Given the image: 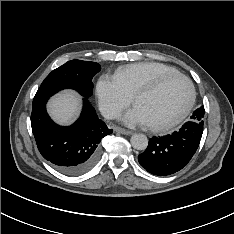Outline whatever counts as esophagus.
<instances>
[{"instance_id":"obj_1","label":"esophagus","mask_w":234,"mask_h":234,"mask_svg":"<svg viewBox=\"0 0 234 234\" xmlns=\"http://www.w3.org/2000/svg\"><path fill=\"white\" fill-rule=\"evenodd\" d=\"M115 131L118 132V133L124 134V135H130V134H132L131 131L126 130V129L121 128V127H116Z\"/></svg>"}]
</instances>
